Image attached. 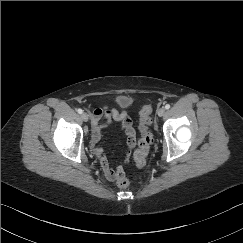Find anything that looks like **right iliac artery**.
<instances>
[{
	"instance_id": "obj_1",
	"label": "right iliac artery",
	"mask_w": 243,
	"mask_h": 243,
	"mask_svg": "<svg viewBox=\"0 0 243 243\" xmlns=\"http://www.w3.org/2000/svg\"><path fill=\"white\" fill-rule=\"evenodd\" d=\"M77 112H78L79 114H82V113H83V110H82V109H78Z\"/></svg>"
}]
</instances>
